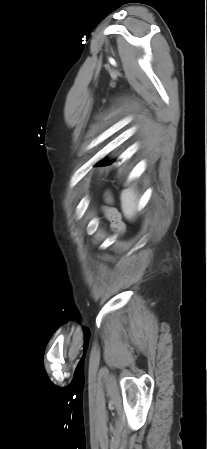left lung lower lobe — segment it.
<instances>
[{
  "label": "left lung lower lobe",
  "instance_id": "0a47b994",
  "mask_svg": "<svg viewBox=\"0 0 207 449\" xmlns=\"http://www.w3.org/2000/svg\"><path fill=\"white\" fill-rule=\"evenodd\" d=\"M105 164H106L105 162L100 161L99 163L96 164V166H102V165H105Z\"/></svg>",
  "mask_w": 207,
  "mask_h": 449
}]
</instances>
